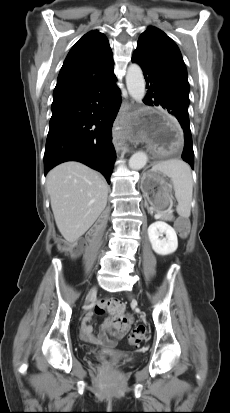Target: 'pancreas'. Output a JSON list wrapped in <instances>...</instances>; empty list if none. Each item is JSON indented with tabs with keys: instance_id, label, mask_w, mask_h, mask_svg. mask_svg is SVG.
<instances>
[{
	"instance_id": "cf45deb5",
	"label": "pancreas",
	"mask_w": 230,
	"mask_h": 413,
	"mask_svg": "<svg viewBox=\"0 0 230 413\" xmlns=\"http://www.w3.org/2000/svg\"><path fill=\"white\" fill-rule=\"evenodd\" d=\"M162 218L164 220H167V221H172L173 220V216L171 214H168V213L163 214Z\"/></svg>"
}]
</instances>
